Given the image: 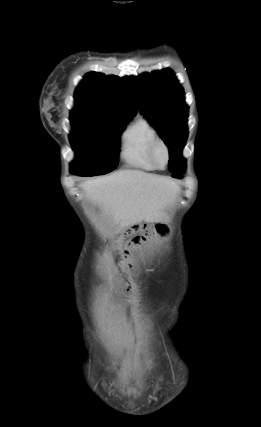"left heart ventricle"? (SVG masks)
<instances>
[{
    "label": "left heart ventricle",
    "mask_w": 261,
    "mask_h": 427,
    "mask_svg": "<svg viewBox=\"0 0 261 427\" xmlns=\"http://www.w3.org/2000/svg\"><path fill=\"white\" fill-rule=\"evenodd\" d=\"M158 162L160 165H163L165 163V154L163 151H160L158 154Z\"/></svg>",
    "instance_id": "obj_1"
}]
</instances>
